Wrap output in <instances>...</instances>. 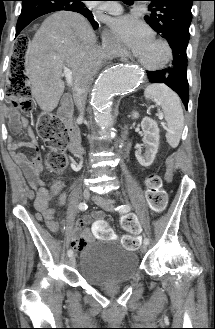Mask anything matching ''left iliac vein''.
Masks as SVG:
<instances>
[{
  "instance_id": "4c4485c4",
  "label": "left iliac vein",
  "mask_w": 215,
  "mask_h": 329,
  "mask_svg": "<svg viewBox=\"0 0 215 329\" xmlns=\"http://www.w3.org/2000/svg\"><path fill=\"white\" fill-rule=\"evenodd\" d=\"M92 200L101 208H103L106 211H113V205L109 200H106L100 196H93ZM147 251V245L143 244L141 246V252L145 253Z\"/></svg>"
}]
</instances>
